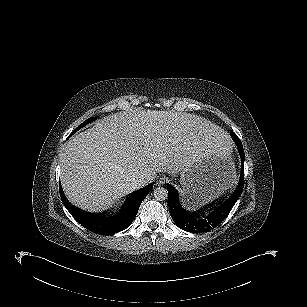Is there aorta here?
Segmentation results:
<instances>
[{"instance_id":"aorta-1","label":"aorta","mask_w":307,"mask_h":307,"mask_svg":"<svg viewBox=\"0 0 307 307\" xmlns=\"http://www.w3.org/2000/svg\"><path fill=\"white\" fill-rule=\"evenodd\" d=\"M153 195L157 201H165L168 198V191L164 187L154 189Z\"/></svg>"}]
</instances>
